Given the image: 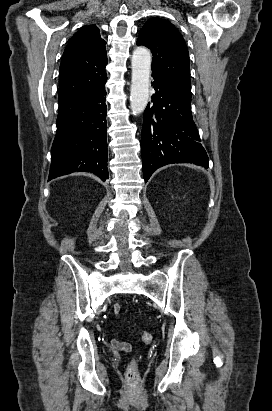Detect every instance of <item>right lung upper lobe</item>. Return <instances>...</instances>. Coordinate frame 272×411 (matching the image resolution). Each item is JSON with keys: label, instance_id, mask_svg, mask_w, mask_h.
Listing matches in <instances>:
<instances>
[{"label": "right lung upper lobe", "instance_id": "obj_1", "mask_svg": "<svg viewBox=\"0 0 272 411\" xmlns=\"http://www.w3.org/2000/svg\"><path fill=\"white\" fill-rule=\"evenodd\" d=\"M105 44L95 25L84 27L72 36L60 64L58 102L92 90L107 80Z\"/></svg>", "mask_w": 272, "mask_h": 411}]
</instances>
